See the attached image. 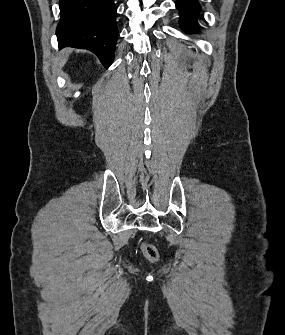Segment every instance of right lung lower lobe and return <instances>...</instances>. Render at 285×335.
Segmentation results:
<instances>
[{"mask_svg":"<svg viewBox=\"0 0 285 335\" xmlns=\"http://www.w3.org/2000/svg\"><path fill=\"white\" fill-rule=\"evenodd\" d=\"M59 5L60 21L56 29L59 48L90 50L108 68L118 38L114 0H59Z\"/></svg>","mask_w":285,"mask_h":335,"instance_id":"98d812e1","label":"right lung lower lobe"}]
</instances>
